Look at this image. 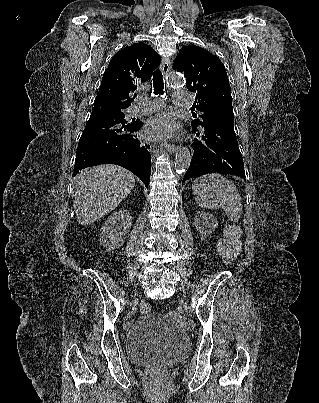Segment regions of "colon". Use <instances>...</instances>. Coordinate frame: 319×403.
Here are the masks:
<instances>
[{"instance_id": "colon-1", "label": "colon", "mask_w": 319, "mask_h": 403, "mask_svg": "<svg viewBox=\"0 0 319 403\" xmlns=\"http://www.w3.org/2000/svg\"><path fill=\"white\" fill-rule=\"evenodd\" d=\"M218 253L226 261L233 259L240 250V232L238 229L230 227L227 230V235L222 239L217 246ZM140 312L142 314H149L151 307L147 302L140 304Z\"/></svg>"}]
</instances>
